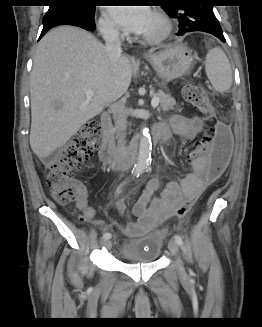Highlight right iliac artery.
Here are the masks:
<instances>
[{
    "label": "right iliac artery",
    "mask_w": 262,
    "mask_h": 327,
    "mask_svg": "<svg viewBox=\"0 0 262 327\" xmlns=\"http://www.w3.org/2000/svg\"><path fill=\"white\" fill-rule=\"evenodd\" d=\"M124 185V183H122L116 190V195H118L121 192L122 186ZM103 238L104 239H110L111 238V234L109 232H106L103 234Z\"/></svg>",
    "instance_id": "right-iliac-artery-1"
}]
</instances>
